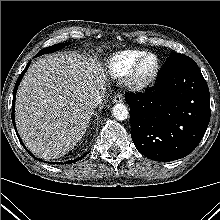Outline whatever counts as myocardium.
I'll list each match as a JSON object with an SVG mask.
<instances>
[{"label": "myocardium", "instance_id": "1", "mask_svg": "<svg viewBox=\"0 0 220 220\" xmlns=\"http://www.w3.org/2000/svg\"><path fill=\"white\" fill-rule=\"evenodd\" d=\"M148 57H152L154 59V66L147 74H141V65ZM159 70L160 60L157 55L151 52H146L136 60L129 72L126 74L125 85L132 91H142L155 81Z\"/></svg>", "mask_w": 220, "mask_h": 220}]
</instances>
